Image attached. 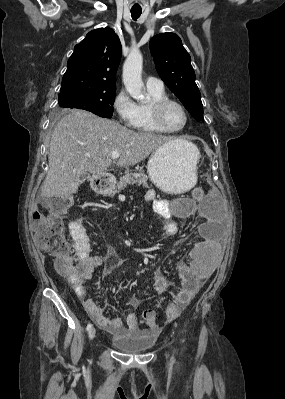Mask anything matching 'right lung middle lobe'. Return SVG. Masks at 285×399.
Masks as SVG:
<instances>
[{"instance_id":"dd1d6c3e","label":"right lung middle lobe","mask_w":285,"mask_h":399,"mask_svg":"<svg viewBox=\"0 0 285 399\" xmlns=\"http://www.w3.org/2000/svg\"><path fill=\"white\" fill-rule=\"evenodd\" d=\"M115 90L73 91L58 95V103L63 108H77L90 111L104 118H111Z\"/></svg>"}]
</instances>
